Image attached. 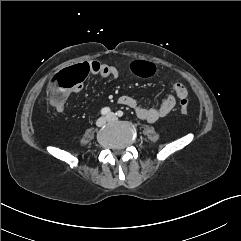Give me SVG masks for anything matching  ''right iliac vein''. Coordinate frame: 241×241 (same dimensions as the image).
I'll return each mask as SVG.
<instances>
[{
	"label": "right iliac vein",
	"instance_id": "1",
	"mask_svg": "<svg viewBox=\"0 0 241 241\" xmlns=\"http://www.w3.org/2000/svg\"><path fill=\"white\" fill-rule=\"evenodd\" d=\"M108 121L107 117H100L97 121H96V125L98 127H103Z\"/></svg>",
	"mask_w": 241,
	"mask_h": 241
}]
</instances>
